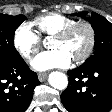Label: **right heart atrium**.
Segmentation results:
<instances>
[{"mask_svg": "<svg viewBox=\"0 0 112 112\" xmlns=\"http://www.w3.org/2000/svg\"><path fill=\"white\" fill-rule=\"evenodd\" d=\"M13 44L19 54L28 60L40 49L41 40L33 26L25 22L14 31Z\"/></svg>", "mask_w": 112, "mask_h": 112, "instance_id": "d8ad5b80", "label": "right heart atrium"}]
</instances>
